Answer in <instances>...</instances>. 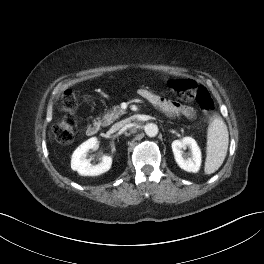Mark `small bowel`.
<instances>
[{"mask_svg":"<svg viewBox=\"0 0 264 264\" xmlns=\"http://www.w3.org/2000/svg\"><path fill=\"white\" fill-rule=\"evenodd\" d=\"M139 95L168 114L183 115L187 118H193L196 114L193 107L164 99L149 90L141 89Z\"/></svg>","mask_w":264,"mask_h":264,"instance_id":"c3829d8e","label":"small bowel"}]
</instances>
